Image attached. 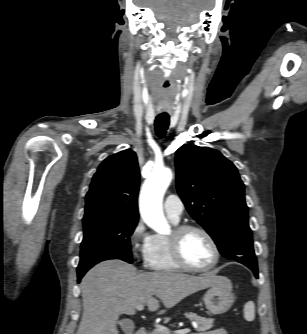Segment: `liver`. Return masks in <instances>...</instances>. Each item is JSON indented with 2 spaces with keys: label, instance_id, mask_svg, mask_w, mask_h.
Segmentation results:
<instances>
[{
  "label": "liver",
  "instance_id": "1",
  "mask_svg": "<svg viewBox=\"0 0 307 334\" xmlns=\"http://www.w3.org/2000/svg\"><path fill=\"white\" fill-rule=\"evenodd\" d=\"M217 283L215 272L190 276L172 272L139 273L121 260H107L90 269L81 281L83 314L76 334H118L121 314L134 315L136 307L171 308L185 297ZM160 311L159 313H162Z\"/></svg>",
  "mask_w": 307,
  "mask_h": 334
}]
</instances>
